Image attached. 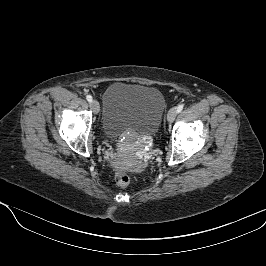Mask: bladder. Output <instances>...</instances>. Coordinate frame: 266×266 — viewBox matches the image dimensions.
<instances>
[{
    "label": "bladder",
    "mask_w": 266,
    "mask_h": 266,
    "mask_svg": "<svg viewBox=\"0 0 266 266\" xmlns=\"http://www.w3.org/2000/svg\"><path fill=\"white\" fill-rule=\"evenodd\" d=\"M166 109L163 94L154 87L116 82L103 96L102 131L112 140L132 131L154 135Z\"/></svg>",
    "instance_id": "31cf9c89"
}]
</instances>
